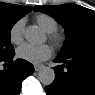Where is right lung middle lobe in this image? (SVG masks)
<instances>
[{
	"label": "right lung middle lobe",
	"mask_w": 95,
	"mask_h": 95,
	"mask_svg": "<svg viewBox=\"0 0 95 95\" xmlns=\"http://www.w3.org/2000/svg\"><path fill=\"white\" fill-rule=\"evenodd\" d=\"M30 9L12 8L0 11V58L14 52L10 43V30L14 23L23 17Z\"/></svg>",
	"instance_id": "right-lung-middle-lobe-1"
}]
</instances>
